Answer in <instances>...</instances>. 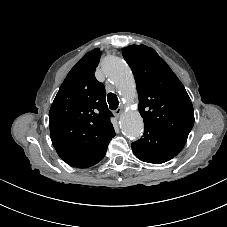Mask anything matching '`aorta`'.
<instances>
[{"instance_id": "obj_1", "label": "aorta", "mask_w": 227, "mask_h": 227, "mask_svg": "<svg viewBox=\"0 0 227 227\" xmlns=\"http://www.w3.org/2000/svg\"><path fill=\"white\" fill-rule=\"evenodd\" d=\"M102 68L105 74L115 83L126 105L136 98V87L132 71L128 64L116 56L107 57ZM121 128L127 137L137 138L142 135L144 123L137 110L127 109L121 117Z\"/></svg>"}]
</instances>
